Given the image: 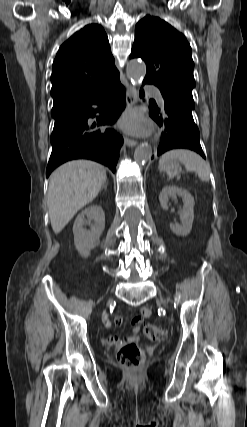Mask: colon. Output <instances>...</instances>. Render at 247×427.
Listing matches in <instances>:
<instances>
[{
    "label": "colon",
    "instance_id": "colon-1",
    "mask_svg": "<svg viewBox=\"0 0 247 427\" xmlns=\"http://www.w3.org/2000/svg\"><path fill=\"white\" fill-rule=\"evenodd\" d=\"M143 332L151 341H161L166 337V332L153 324H146ZM117 359L123 366L136 369L143 363L144 353L136 344L127 343L118 350Z\"/></svg>",
    "mask_w": 247,
    "mask_h": 427
}]
</instances>
